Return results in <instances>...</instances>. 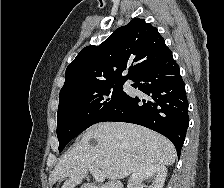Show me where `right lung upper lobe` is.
I'll return each mask as SVG.
<instances>
[{"instance_id":"1","label":"right lung upper lobe","mask_w":224,"mask_h":188,"mask_svg":"<svg viewBox=\"0 0 224 188\" xmlns=\"http://www.w3.org/2000/svg\"><path fill=\"white\" fill-rule=\"evenodd\" d=\"M170 49L157 28L134 18L99 46L83 48L66 69L60 92L113 81L132 80L168 55ZM128 70L126 76L122 72Z\"/></svg>"}]
</instances>
